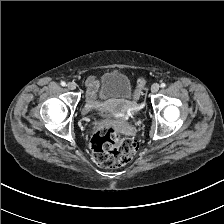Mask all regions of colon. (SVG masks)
Listing matches in <instances>:
<instances>
[{"mask_svg": "<svg viewBox=\"0 0 224 224\" xmlns=\"http://www.w3.org/2000/svg\"><path fill=\"white\" fill-rule=\"evenodd\" d=\"M145 85L146 80L139 78L134 92V107L140 105ZM89 148L97 165L116 168L131 161L138 150V144L133 138L125 137L114 128L100 127L92 136Z\"/></svg>", "mask_w": 224, "mask_h": 224, "instance_id": "1", "label": "colon"}]
</instances>
